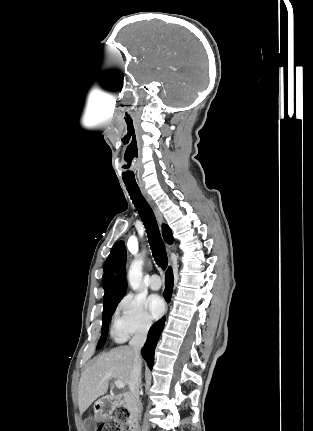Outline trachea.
I'll return each mask as SVG.
<instances>
[{"label":"trachea","mask_w":313,"mask_h":431,"mask_svg":"<svg viewBox=\"0 0 313 431\" xmlns=\"http://www.w3.org/2000/svg\"><path fill=\"white\" fill-rule=\"evenodd\" d=\"M126 189L146 228L154 260L164 270L168 265V257L153 210L142 195L139 187L126 185Z\"/></svg>","instance_id":"3493384b"}]
</instances>
